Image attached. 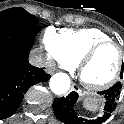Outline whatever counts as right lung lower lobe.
Segmentation results:
<instances>
[{
    "label": "right lung lower lobe",
    "mask_w": 124,
    "mask_h": 124,
    "mask_svg": "<svg viewBox=\"0 0 124 124\" xmlns=\"http://www.w3.org/2000/svg\"><path fill=\"white\" fill-rule=\"evenodd\" d=\"M38 25L0 28V119L13 115L29 87L49 80L43 68L28 62Z\"/></svg>",
    "instance_id": "98d812e1"
}]
</instances>
